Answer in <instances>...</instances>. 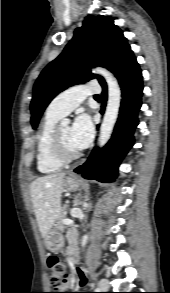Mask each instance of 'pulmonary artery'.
Returning a JSON list of instances; mask_svg holds the SVG:
<instances>
[{
	"label": "pulmonary artery",
	"instance_id": "pulmonary-artery-1",
	"mask_svg": "<svg viewBox=\"0 0 170 293\" xmlns=\"http://www.w3.org/2000/svg\"><path fill=\"white\" fill-rule=\"evenodd\" d=\"M99 92V84L97 83L71 87L57 95L48 105L46 112L60 118L64 117L79 106L87 96H95Z\"/></svg>",
	"mask_w": 170,
	"mask_h": 293
}]
</instances>
